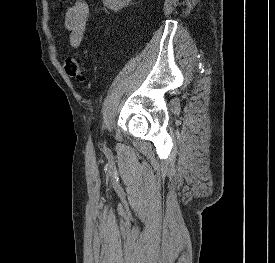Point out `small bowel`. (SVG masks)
<instances>
[{"mask_svg": "<svg viewBox=\"0 0 275 263\" xmlns=\"http://www.w3.org/2000/svg\"><path fill=\"white\" fill-rule=\"evenodd\" d=\"M88 18L89 6L84 0H74L65 13L64 25L74 48L79 47L84 39Z\"/></svg>", "mask_w": 275, "mask_h": 263, "instance_id": "1", "label": "small bowel"}]
</instances>
